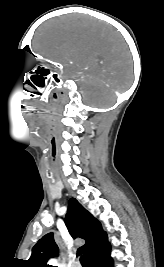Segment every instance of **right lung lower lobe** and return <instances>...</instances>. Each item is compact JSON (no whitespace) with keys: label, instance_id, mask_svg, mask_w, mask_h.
I'll return each instance as SVG.
<instances>
[{"label":"right lung lower lobe","instance_id":"right-lung-lower-lobe-1","mask_svg":"<svg viewBox=\"0 0 164 267\" xmlns=\"http://www.w3.org/2000/svg\"><path fill=\"white\" fill-rule=\"evenodd\" d=\"M110 249L107 251L96 255L92 259H90L89 262V267H113V260L112 258H108L107 256L110 255Z\"/></svg>","mask_w":164,"mask_h":267}]
</instances>
